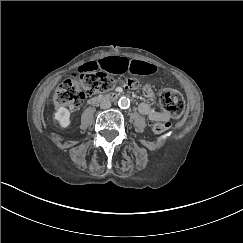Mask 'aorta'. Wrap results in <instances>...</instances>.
<instances>
[{"label":"aorta","mask_w":243,"mask_h":243,"mask_svg":"<svg viewBox=\"0 0 243 243\" xmlns=\"http://www.w3.org/2000/svg\"><path fill=\"white\" fill-rule=\"evenodd\" d=\"M119 105L121 108H127L129 105V99H127L126 97L120 98Z\"/></svg>","instance_id":"obj_1"}]
</instances>
